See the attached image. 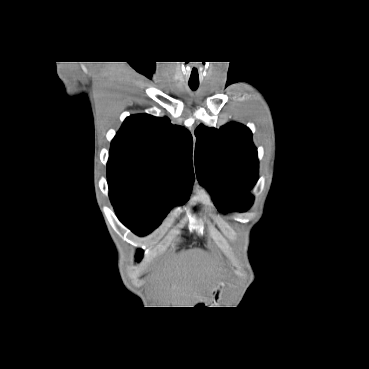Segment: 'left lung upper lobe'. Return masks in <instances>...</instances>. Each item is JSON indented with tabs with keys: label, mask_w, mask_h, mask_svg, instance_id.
I'll use <instances>...</instances> for the list:
<instances>
[{
	"label": "left lung upper lobe",
	"mask_w": 369,
	"mask_h": 369,
	"mask_svg": "<svg viewBox=\"0 0 369 369\" xmlns=\"http://www.w3.org/2000/svg\"><path fill=\"white\" fill-rule=\"evenodd\" d=\"M195 135V169L200 184L221 212L246 211L254 199L249 191L258 179L251 131L231 122L220 129L200 125Z\"/></svg>",
	"instance_id": "1"
}]
</instances>
